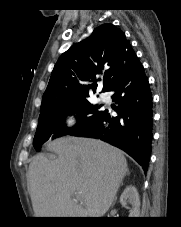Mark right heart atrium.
<instances>
[{
	"label": "right heart atrium",
	"mask_w": 181,
	"mask_h": 227,
	"mask_svg": "<svg viewBox=\"0 0 181 227\" xmlns=\"http://www.w3.org/2000/svg\"><path fill=\"white\" fill-rule=\"evenodd\" d=\"M62 124L66 129H73L78 125L76 114L68 113L62 120Z\"/></svg>",
	"instance_id": "1"
}]
</instances>
